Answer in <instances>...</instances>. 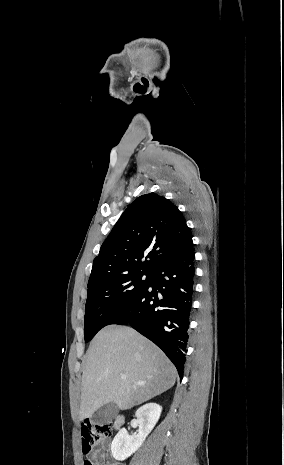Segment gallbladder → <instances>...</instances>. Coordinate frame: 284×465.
<instances>
[{
	"instance_id": "bac80fb5",
	"label": "gallbladder",
	"mask_w": 284,
	"mask_h": 465,
	"mask_svg": "<svg viewBox=\"0 0 284 465\" xmlns=\"http://www.w3.org/2000/svg\"><path fill=\"white\" fill-rule=\"evenodd\" d=\"M118 407L116 403H107L104 407H101L99 411H96L92 417H90L91 423L93 425H108V423H112L113 419H115L116 415H118Z\"/></svg>"
}]
</instances>
